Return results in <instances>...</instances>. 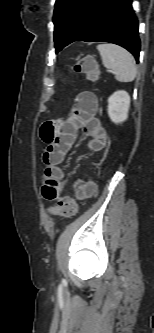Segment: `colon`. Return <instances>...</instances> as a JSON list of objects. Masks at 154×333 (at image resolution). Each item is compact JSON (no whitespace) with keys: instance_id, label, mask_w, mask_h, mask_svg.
<instances>
[{"instance_id":"obj_1","label":"colon","mask_w":154,"mask_h":333,"mask_svg":"<svg viewBox=\"0 0 154 333\" xmlns=\"http://www.w3.org/2000/svg\"><path fill=\"white\" fill-rule=\"evenodd\" d=\"M72 70L76 73H83L89 79L96 80L98 77V69L96 61L93 57L87 56L77 61ZM86 183L85 179H79L74 184V189L77 191L81 189ZM77 202L72 196H65L58 200L55 206L50 207L49 211L53 215L71 217L77 213Z\"/></svg>"}]
</instances>
